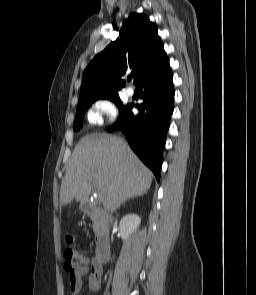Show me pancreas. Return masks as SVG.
<instances>
[{
    "mask_svg": "<svg viewBox=\"0 0 256 295\" xmlns=\"http://www.w3.org/2000/svg\"><path fill=\"white\" fill-rule=\"evenodd\" d=\"M99 229V223L97 221H94V231L97 232Z\"/></svg>",
    "mask_w": 256,
    "mask_h": 295,
    "instance_id": "cf45deb5",
    "label": "pancreas"
}]
</instances>
